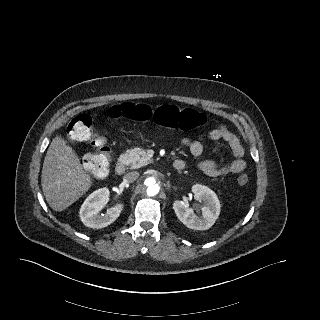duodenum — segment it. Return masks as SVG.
<instances>
[{"label": "duodenum", "mask_w": 320, "mask_h": 320, "mask_svg": "<svg viewBox=\"0 0 320 320\" xmlns=\"http://www.w3.org/2000/svg\"><path fill=\"white\" fill-rule=\"evenodd\" d=\"M173 166V169L174 170H177V171H180V170H183L185 168V163L182 161V160H175L172 164ZM115 171L118 175H123L126 171V164L124 161H119L117 164H116V167H115Z\"/></svg>", "instance_id": "duodenum-1"}]
</instances>
